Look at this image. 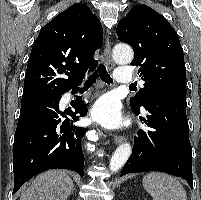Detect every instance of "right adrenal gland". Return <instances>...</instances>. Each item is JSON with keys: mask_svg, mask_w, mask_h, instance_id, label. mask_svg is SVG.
Instances as JSON below:
<instances>
[{"mask_svg": "<svg viewBox=\"0 0 201 200\" xmlns=\"http://www.w3.org/2000/svg\"><path fill=\"white\" fill-rule=\"evenodd\" d=\"M75 191V187H73L72 192Z\"/></svg>", "mask_w": 201, "mask_h": 200, "instance_id": "2a0ac1e0", "label": "right adrenal gland"}]
</instances>
